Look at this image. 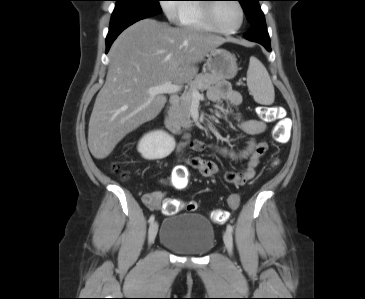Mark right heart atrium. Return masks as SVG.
Returning a JSON list of instances; mask_svg holds the SVG:
<instances>
[{
  "label": "right heart atrium",
  "instance_id": "right-heart-atrium-1",
  "mask_svg": "<svg viewBox=\"0 0 365 299\" xmlns=\"http://www.w3.org/2000/svg\"><path fill=\"white\" fill-rule=\"evenodd\" d=\"M175 2L177 0H161V7L171 21H176L179 18L180 7Z\"/></svg>",
  "mask_w": 365,
  "mask_h": 299
}]
</instances>
